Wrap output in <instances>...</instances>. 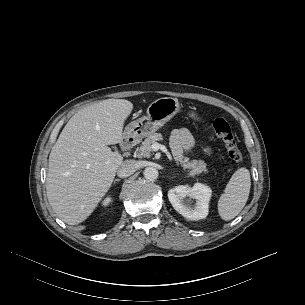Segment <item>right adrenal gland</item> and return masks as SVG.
<instances>
[{
    "label": "right adrenal gland",
    "mask_w": 305,
    "mask_h": 305,
    "mask_svg": "<svg viewBox=\"0 0 305 305\" xmlns=\"http://www.w3.org/2000/svg\"><path fill=\"white\" fill-rule=\"evenodd\" d=\"M119 181H121L120 178H119V179H115L113 182H114V184H115L116 182H119Z\"/></svg>",
    "instance_id": "obj_1"
}]
</instances>
